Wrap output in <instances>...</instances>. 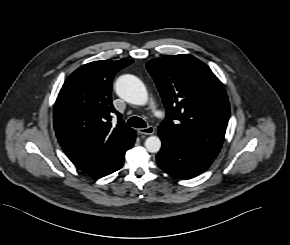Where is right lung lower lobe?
<instances>
[{"label":"right lung lower lobe","mask_w":290,"mask_h":245,"mask_svg":"<svg viewBox=\"0 0 290 245\" xmlns=\"http://www.w3.org/2000/svg\"><path fill=\"white\" fill-rule=\"evenodd\" d=\"M122 165H123V164H122ZM122 165H121L118 169H120V168L122 167ZM118 169H117V170H118ZM117 170H116V171H117Z\"/></svg>","instance_id":"right-lung-lower-lobe-1"}]
</instances>
